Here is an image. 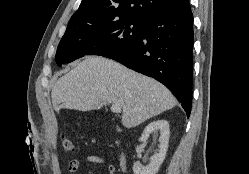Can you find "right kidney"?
<instances>
[{
    "mask_svg": "<svg viewBox=\"0 0 249 174\" xmlns=\"http://www.w3.org/2000/svg\"><path fill=\"white\" fill-rule=\"evenodd\" d=\"M153 132H159V150L158 153H155L151 157V161L148 166L143 167L142 165H134L133 173L134 174H156L159 171L161 164L163 163L167 150H168V142H169V123L166 120H157L149 123L144 129L140 141H147L149 135Z\"/></svg>",
    "mask_w": 249,
    "mask_h": 174,
    "instance_id": "right-kidney-1",
    "label": "right kidney"
}]
</instances>
